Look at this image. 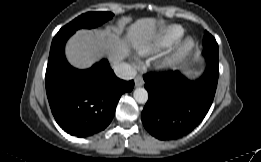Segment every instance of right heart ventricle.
Returning a JSON list of instances; mask_svg holds the SVG:
<instances>
[{
    "label": "right heart ventricle",
    "mask_w": 261,
    "mask_h": 162,
    "mask_svg": "<svg viewBox=\"0 0 261 162\" xmlns=\"http://www.w3.org/2000/svg\"><path fill=\"white\" fill-rule=\"evenodd\" d=\"M184 34V29L178 25L168 26L158 33L153 40L142 47V53H150L169 48L177 43Z\"/></svg>",
    "instance_id": "obj_1"
}]
</instances>
